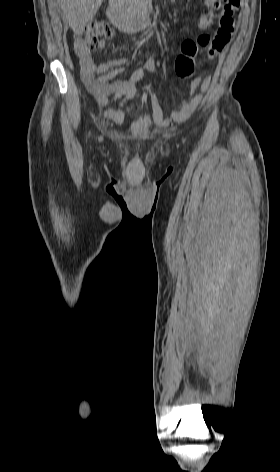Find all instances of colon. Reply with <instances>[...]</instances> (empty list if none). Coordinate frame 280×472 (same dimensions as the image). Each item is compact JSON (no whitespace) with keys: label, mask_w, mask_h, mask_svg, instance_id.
Wrapping results in <instances>:
<instances>
[{"label":"colon","mask_w":280,"mask_h":472,"mask_svg":"<svg viewBox=\"0 0 280 472\" xmlns=\"http://www.w3.org/2000/svg\"><path fill=\"white\" fill-rule=\"evenodd\" d=\"M214 7H221L223 10L220 22L231 24L235 13L239 10L240 0H212ZM113 34L111 27L103 22H91L81 32L75 36V40L90 48H96L101 36L110 37ZM175 70L181 77H189L194 72V63L188 59H177Z\"/></svg>","instance_id":"5ec220e1"}]
</instances>
